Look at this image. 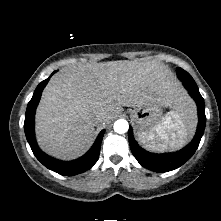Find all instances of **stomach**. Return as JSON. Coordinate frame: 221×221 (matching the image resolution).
I'll list each match as a JSON object with an SVG mask.
<instances>
[{"instance_id":"stomach-1","label":"stomach","mask_w":221,"mask_h":221,"mask_svg":"<svg viewBox=\"0 0 221 221\" xmlns=\"http://www.w3.org/2000/svg\"><path fill=\"white\" fill-rule=\"evenodd\" d=\"M164 105L162 102H152L140 107H136L130 111V117L134 122L138 134L149 136L154 135L153 141L155 143H160L161 141L157 138L156 129L162 124L164 120L162 108ZM152 142L151 140L147 141Z\"/></svg>"}]
</instances>
